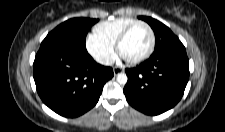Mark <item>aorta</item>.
Segmentation results:
<instances>
[{
    "label": "aorta",
    "instance_id": "1",
    "mask_svg": "<svg viewBox=\"0 0 225 132\" xmlns=\"http://www.w3.org/2000/svg\"><path fill=\"white\" fill-rule=\"evenodd\" d=\"M127 80H128V78H127L126 74L120 73V74L117 75V82L119 84H126Z\"/></svg>",
    "mask_w": 225,
    "mask_h": 132
}]
</instances>
